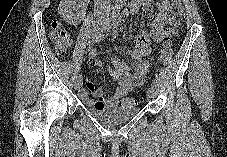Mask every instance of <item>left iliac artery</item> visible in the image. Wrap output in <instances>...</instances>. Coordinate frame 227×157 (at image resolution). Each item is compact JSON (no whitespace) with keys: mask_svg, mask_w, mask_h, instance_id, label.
Returning <instances> with one entry per match:
<instances>
[{"mask_svg":"<svg viewBox=\"0 0 227 157\" xmlns=\"http://www.w3.org/2000/svg\"><path fill=\"white\" fill-rule=\"evenodd\" d=\"M151 86H153V87H155V86H156L155 81H152Z\"/></svg>","mask_w":227,"mask_h":157,"instance_id":"obj_1","label":"left iliac artery"}]
</instances>
